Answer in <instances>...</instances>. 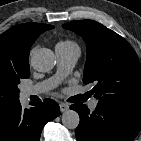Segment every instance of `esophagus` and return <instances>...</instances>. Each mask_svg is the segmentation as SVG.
<instances>
[{"instance_id": "obj_1", "label": "esophagus", "mask_w": 141, "mask_h": 141, "mask_svg": "<svg viewBox=\"0 0 141 141\" xmlns=\"http://www.w3.org/2000/svg\"><path fill=\"white\" fill-rule=\"evenodd\" d=\"M60 110L61 112H65L69 109V105L68 104H65V103H60Z\"/></svg>"}]
</instances>
